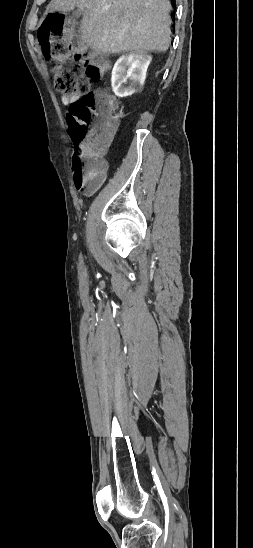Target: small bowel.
I'll list each match as a JSON object with an SVG mask.
<instances>
[{"mask_svg":"<svg viewBox=\"0 0 253 548\" xmlns=\"http://www.w3.org/2000/svg\"><path fill=\"white\" fill-rule=\"evenodd\" d=\"M74 100H76V97H71V98L64 97L63 98V102L65 104H68L69 102H72ZM105 177H106V173L104 172L102 174V176L99 179H97L95 182H93L89 185H86V186H76V188L83 191L85 194H88V195L93 194L100 187V185L104 182Z\"/></svg>","mask_w":253,"mask_h":548,"instance_id":"c3829d8e","label":"small bowel"}]
</instances>
